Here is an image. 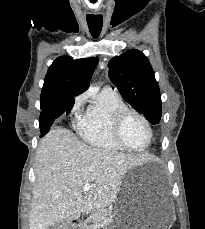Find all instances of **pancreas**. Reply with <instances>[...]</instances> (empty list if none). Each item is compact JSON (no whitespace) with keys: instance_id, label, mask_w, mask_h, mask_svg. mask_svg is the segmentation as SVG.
<instances>
[{"instance_id":"cf45deb5","label":"pancreas","mask_w":205,"mask_h":229,"mask_svg":"<svg viewBox=\"0 0 205 229\" xmlns=\"http://www.w3.org/2000/svg\"><path fill=\"white\" fill-rule=\"evenodd\" d=\"M114 214L111 210L105 208L97 209L84 222L81 229H94V222H96L97 229H108V226L113 221Z\"/></svg>"}]
</instances>
